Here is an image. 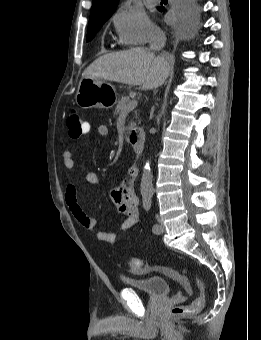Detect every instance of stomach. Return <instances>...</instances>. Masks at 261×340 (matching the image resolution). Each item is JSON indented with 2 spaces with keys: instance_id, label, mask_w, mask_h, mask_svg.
I'll use <instances>...</instances> for the list:
<instances>
[{
  "instance_id": "stomach-1",
  "label": "stomach",
  "mask_w": 261,
  "mask_h": 340,
  "mask_svg": "<svg viewBox=\"0 0 261 340\" xmlns=\"http://www.w3.org/2000/svg\"><path fill=\"white\" fill-rule=\"evenodd\" d=\"M119 100L115 87L99 78L83 77L79 83L75 101L83 109L112 108Z\"/></svg>"
}]
</instances>
